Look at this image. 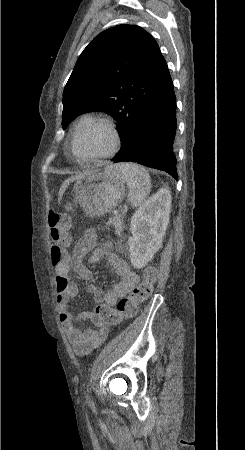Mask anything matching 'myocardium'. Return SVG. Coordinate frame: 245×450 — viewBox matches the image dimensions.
<instances>
[{
    "label": "myocardium",
    "instance_id": "myocardium-1",
    "mask_svg": "<svg viewBox=\"0 0 245 450\" xmlns=\"http://www.w3.org/2000/svg\"><path fill=\"white\" fill-rule=\"evenodd\" d=\"M99 125L106 127V129L111 133L112 145H111L110 149L106 153L100 154V155L84 156V155L79 154L76 149V143H77V140H78L81 132L87 127L99 126ZM120 146H121V135L119 133V130H118L116 124L109 118L96 117L87 122H84V121L79 122L75 125L74 130L72 132L71 151L75 155L76 158L81 159V160H102V159L110 158L118 152Z\"/></svg>",
    "mask_w": 245,
    "mask_h": 450
}]
</instances>
